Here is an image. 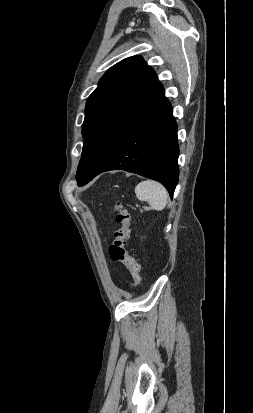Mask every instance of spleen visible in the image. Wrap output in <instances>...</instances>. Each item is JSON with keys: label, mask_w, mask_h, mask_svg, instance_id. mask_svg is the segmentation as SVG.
Masks as SVG:
<instances>
[{"label": "spleen", "mask_w": 253, "mask_h": 413, "mask_svg": "<svg viewBox=\"0 0 253 413\" xmlns=\"http://www.w3.org/2000/svg\"><path fill=\"white\" fill-rule=\"evenodd\" d=\"M136 197L146 201L154 210L161 211L166 207L168 192L165 187L153 180L142 181L135 187Z\"/></svg>", "instance_id": "obj_1"}]
</instances>
